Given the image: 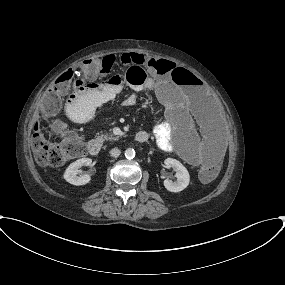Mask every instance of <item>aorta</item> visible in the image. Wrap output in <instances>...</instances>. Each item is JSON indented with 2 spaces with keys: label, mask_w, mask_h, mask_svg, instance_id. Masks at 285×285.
<instances>
[{
  "label": "aorta",
  "mask_w": 285,
  "mask_h": 285,
  "mask_svg": "<svg viewBox=\"0 0 285 285\" xmlns=\"http://www.w3.org/2000/svg\"><path fill=\"white\" fill-rule=\"evenodd\" d=\"M125 157L127 159H133L135 157V150L131 149V148L126 149L125 150Z\"/></svg>",
  "instance_id": "762f6f07"
}]
</instances>
